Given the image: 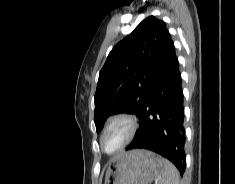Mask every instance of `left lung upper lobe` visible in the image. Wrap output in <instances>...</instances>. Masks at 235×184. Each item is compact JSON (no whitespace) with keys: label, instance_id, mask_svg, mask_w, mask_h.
<instances>
[{"label":"left lung upper lobe","instance_id":"left-lung-upper-lobe-1","mask_svg":"<svg viewBox=\"0 0 235 184\" xmlns=\"http://www.w3.org/2000/svg\"><path fill=\"white\" fill-rule=\"evenodd\" d=\"M168 36L165 23L149 16L111 50L99 73L95 93L97 132L113 113L139 117Z\"/></svg>","mask_w":235,"mask_h":184}]
</instances>
